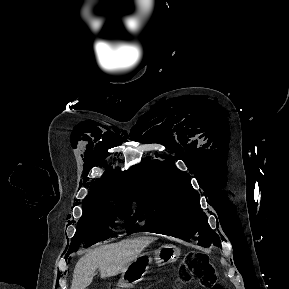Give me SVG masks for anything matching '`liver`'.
Segmentation results:
<instances>
[{
  "instance_id": "liver-1",
  "label": "liver",
  "mask_w": 289,
  "mask_h": 289,
  "mask_svg": "<svg viewBox=\"0 0 289 289\" xmlns=\"http://www.w3.org/2000/svg\"><path fill=\"white\" fill-rule=\"evenodd\" d=\"M154 238L142 237L109 244L87 253L77 262L71 289H86L99 268L102 278L124 272Z\"/></svg>"
}]
</instances>
